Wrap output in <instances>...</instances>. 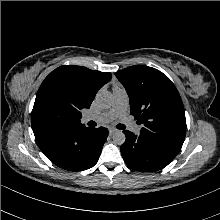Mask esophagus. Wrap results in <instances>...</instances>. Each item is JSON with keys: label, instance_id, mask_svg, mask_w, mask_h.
<instances>
[{"label": "esophagus", "instance_id": "esophagus-1", "mask_svg": "<svg viewBox=\"0 0 220 220\" xmlns=\"http://www.w3.org/2000/svg\"><path fill=\"white\" fill-rule=\"evenodd\" d=\"M115 132H117V130L115 128H109V134L112 135Z\"/></svg>", "mask_w": 220, "mask_h": 220}]
</instances>
